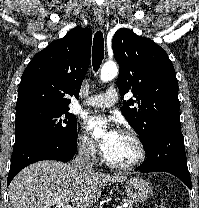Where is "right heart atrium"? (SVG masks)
I'll use <instances>...</instances> for the list:
<instances>
[{
    "instance_id": "obj_1",
    "label": "right heart atrium",
    "mask_w": 199,
    "mask_h": 208,
    "mask_svg": "<svg viewBox=\"0 0 199 208\" xmlns=\"http://www.w3.org/2000/svg\"><path fill=\"white\" fill-rule=\"evenodd\" d=\"M77 147L80 153L89 159H95L98 156L97 144L83 132L77 135Z\"/></svg>"
}]
</instances>
